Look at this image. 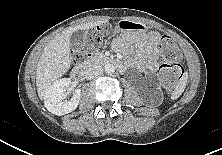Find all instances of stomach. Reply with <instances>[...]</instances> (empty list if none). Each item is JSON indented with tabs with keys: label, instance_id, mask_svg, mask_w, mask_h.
<instances>
[{
	"label": "stomach",
	"instance_id": "0dacf381",
	"mask_svg": "<svg viewBox=\"0 0 222 155\" xmlns=\"http://www.w3.org/2000/svg\"><path fill=\"white\" fill-rule=\"evenodd\" d=\"M149 26L142 22H137L129 19H122L117 22V24L109 27H104L103 32L109 37H114L120 35L123 40H127L130 44H135L136 46H147Z\"/></svg>",
	"mask_w": 222,
	"mask_h": 155
}]
</instances>
